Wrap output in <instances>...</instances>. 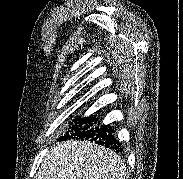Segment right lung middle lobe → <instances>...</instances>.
I'll return each mask as SVG.
<instances>
[{
    "instance_id": "1",
    "label": "right lung middle lobe",
    "mask_w": 183,
    "mask_h": 179,
    "mask_svg": "<svg viewBox=\"0 0 183 179\" xmlns=\"http://www.w3.org/2000/svg\"><path fill=\"white\" fill-rule=\"evenodd\" d=\"M98 119H94L91 116L85 118H76L75 124L69 127V130L65 133L64 136L60 137L59 140H65L68 138H75V136H81L88 130L91 126H93V122L96 123Z\"/></svg>"
}]
</instances>
